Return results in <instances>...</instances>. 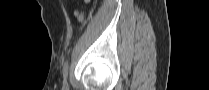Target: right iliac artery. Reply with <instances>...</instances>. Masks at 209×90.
Returning a JSON list of instances; mask_svg holds the SVG:
<instances>
[{
  "instance_id": "82829eb1",
  "label": "right iliac artery",
  "mask_w": 209,
  "mask_h": 90,
  "mask_svg": "<svg viewBox=\"0 0 209 90\" xmlns=\"http://www.w3.org/2000/svg\"><path fill=\"white\" fill-rule=\"evenodd\" d=\"M68 74V63L66 62L64 65V77H67Z\"/></svg>"
}]
</instances>
